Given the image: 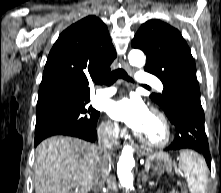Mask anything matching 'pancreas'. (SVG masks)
I'll list each match as a JSON object with an SVG mask.
<instances>
[{"instance_id":"pancreas-1","label":"pancreas","mask_w":221,"mask_h":193,"mask_svg":"<svg viewBox=\"0 0 221 193\" xmlns=\"http://www.w3.org/2000/svg\"><path fill=\"white\" fill-rule=\"evenodd\" d=\"M167 171H171V169H170V168H168V169H167ZM162 172H163V171H162V170H160V171L158 172V174H159V175H161V174H162Z\"/></svg>"}]
</instances>
